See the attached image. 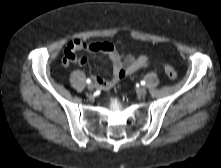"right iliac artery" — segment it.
I'll return each mask as SVG.
<instances>
[{
  "label": "right iliac artery",
  "instance_id": "82829eb1",
  "mask_svg": "<svg viewBox=\"0 0 221 168\" xmlns=\"http://www.w3.org/2000/svg\"><path fill=\"white\" fill-rule=\"evenodd\" d=\"M86 82H87L88 84H90V83H91V80H90V79H87Z\"/></svg>",
  "mask_w": 221,
  "mask_h": 168
}]
</instances>
